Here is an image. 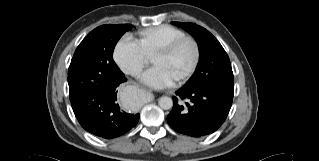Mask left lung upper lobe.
<instances>
[{
    "label": "left lung upper lobe",
    "instance_id": "1",
    "mask_svg": "<svg viewBox=\"0 0 319 161\" xmlns=\"http://www.w3.org/2000/svg\"><path fill=\"white\" fill-rule=\"evenodd\" d=\"M197 41L200 59L196 71L183 87L198 88L233 98L234 77L229 57L219 41L194 23L173 22Z\"/></svg>",
    "mask_w": 319,
    "mask_h": 161
}]
</instances>
